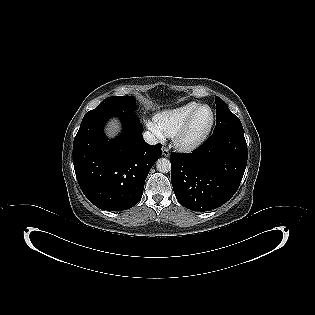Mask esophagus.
<instances>
[{"label":"esophagus","mask_w":315,"mask_h":315,"mask_svg":"<svg viewBox=\"0 0 315 315\" xmlns=\"http://www.w3.org/2000/svg\"><path fill=\"white\" fill-rule=\"evenodd\" d=\"M162 155L165 156V157H169L170 156V152L167 148H163L162 149Z\"/></svg>","instance_id":"obj_1"}]
</instances>
